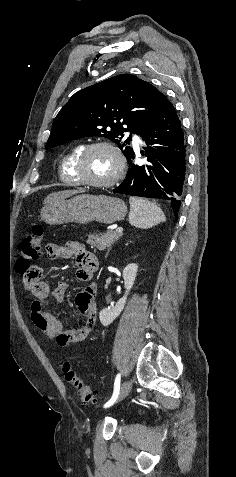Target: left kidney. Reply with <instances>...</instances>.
Wrapping results in <instances>:
<instances>
[{
    "label": "left kidney",
    "mask_w": 236,
    "mask_h": 477,
    "mask_svg": "<svg viewBox=\"0 0 236 477\" xmlns=\"http://www.w3.org/2000/svg\"><path fill=\"white\" fill-rule=\"evenodd\" d=\"M138 271V265L128 264L123 270V279L125 286V295L120 298L112 309H103L99 313V319L103 326L110 325L122 312L127 301V296L134 285L135 278Z\"/></svg>",
    "instance_id": "5707ae66"
}]
</instances>
